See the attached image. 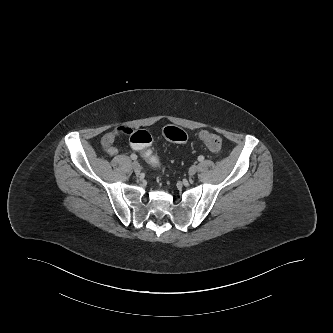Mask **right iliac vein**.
Returning a JSON list of instances; mask_svg holds the SVG:
<instances>
[{
    "label": "right iliac vein",
    "instance_id": "63e3f726",
    "mask_svg": "<svg viewBox=\"0 0 333 333\" xmlns=\"http://www.w3.org/2000/svg\"><path fill=\"white\" fill-rule=\"evenodd\" d=\"M132 167H133V170L136 172V173H139L141 171V166L138 162H133L132 164Z\"/></svg>",
    "mask_w": 333,
    "mask_h": 333
}]
</instances>
